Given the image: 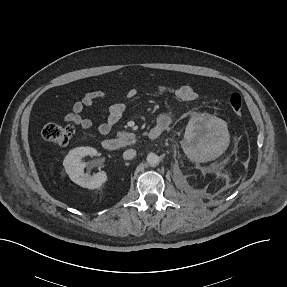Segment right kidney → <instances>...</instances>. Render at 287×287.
Here are the masks:
<instances>
[{
    "instance_id": "obj_1",
    "label": "right kidney",
    "mask_w": 287,
    "mask_h": 287,
    "mask_svg": "<svg viewBox=\"0 0 287 287\" xmlns=\"http://www.w3.org/2000/svg\"><path fill=\"white\" fill-rule=\"evenodd\" d=\"M96 149L92 147H77L71 150L63 161V166L70 179L83 188L96 189L107 181V174L100 171L93 176L84 173L85 164L82 158L96 155Z\"/></svg>"
}]
</instances>
